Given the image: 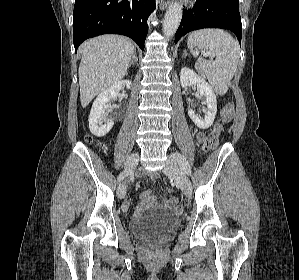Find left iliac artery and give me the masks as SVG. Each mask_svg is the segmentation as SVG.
Instances as JSON below:
<instances>
[{
    "label": "left iliac artery",
    "mask_w": 299,
    "mask_h": 280,
    "mask_svg": "<svg viewBox=\"0 0 299 280\" xmlns=\"http://www.w3.org/2000/svg\"><path fill=\"white\" fill-rule=\"evenodd\" d=\"M172 159L175 160L181 167V169L189 176H191V168L190 165L188 163V161L186 160V158L179 154V153H174L171 155Z\"/></svg>",
    "instance_id": "44dca946"
}]
</instances>
